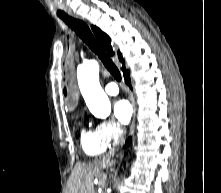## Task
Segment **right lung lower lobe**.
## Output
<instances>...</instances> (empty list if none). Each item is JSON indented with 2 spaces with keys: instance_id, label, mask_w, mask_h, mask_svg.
Masks as SVG:
<instances>
[{
  "instance_id": "1",
  "label": "right lung lower lobe",
  "mask_w": 221,
  "mask_h": 193,
  "mask_svg": "<svg viewBox=\"0 0 221 193\" xmlns=\"http://www.w3.org/2000/svg\"><path fill=\"white\" fill-rule=\"evenodd\" d=\"M124 79L127 85H129V87L131 88V81H130V76H129V72H125L124 73ZM131 143V137L128 138L126 145L125 146H129Z\"/></svg>"
}]
</instances>
